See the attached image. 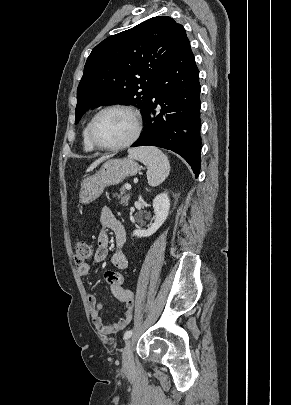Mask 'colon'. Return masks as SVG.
<instances>
[{
	"instance_id": "5ec220e1",
	"label": "colon",
	"mask_w": 291,
	"mask_h": 405,
	"mask_svg": "<svg viewBox=\"0 0 291 405\" xmlns=\"http://www.w3.org/2000/svg\"><path fill=\"white\" fill-rule=\"evenodd\" d=\"M93 248L84 240H76L74 243V258L78 266L86 264V262L92 257ZM105 279L109 285L122 286L125 278L122 274L115 271H107L105 273Z\"/></svg>"
}]
</instances>
